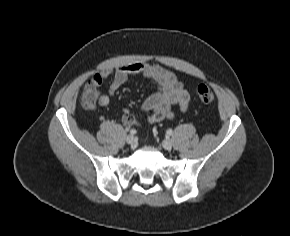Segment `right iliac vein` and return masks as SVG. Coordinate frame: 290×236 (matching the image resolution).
<instances>
[{
    "label": "right iliac vein",
    "mask_w": 290,
    "mask_h": 236,
    "mask_svg": "<svg viewBox=\"0 0 290 236\" xmlns=\"http://www.w3.org/2000/svg\"><path fill=\"white\" fill-rule=\"evenodd\" d=\"M126 142L132 147L135 148L137 145L136 138L133 135H127L125 138Z\"/></svg>",
    "instance_id": "1"
}]
</instances>
